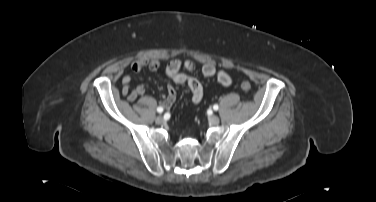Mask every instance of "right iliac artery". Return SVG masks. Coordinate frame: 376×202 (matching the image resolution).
Listing matches in <instances>:
<instances>
[{"instance_id": "1", "label": "right iliac artery", "mask_w": 376, "mask_h": 202, "mask_svg": "<svg viewBox=\"0 0 376 202\" xmlns=\"http://www.w3.org/2000/svg\"><path fill=\"white\" fill-rule=\"evenodd\" d=\"M157 112H158V113H162V112H163V107H161V106L158 107V108H157Z\"/></svg>"}]
</instances>
